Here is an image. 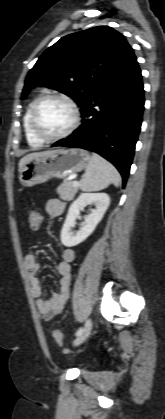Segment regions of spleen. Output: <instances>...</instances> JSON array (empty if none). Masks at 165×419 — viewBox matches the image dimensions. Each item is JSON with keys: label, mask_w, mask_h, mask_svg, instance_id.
Here are the masks:
<instances>
[{"label": "spleen", "mask_w": 165, "mask_h": 419, "mask_svg": "<svg viewBox=\"0 0 165 419\" xmlns=\"http://www.w3.org/2000/svg\"><path fill=\"white\" fill-rule=\"evenodd\" d=\"M120 183L121 178L116 168L98 154L93 153L79 186L83 191H100L110 184L119 187Z\"/></svg>", "instance_id": "obj_1"}]
</instances>
